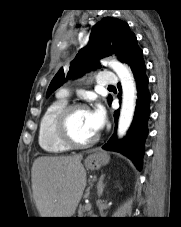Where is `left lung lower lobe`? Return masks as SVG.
Masks as SVG:
<instances>
[{"instance_id":"0a47b994","label":"left lung lower lobe","mask_w":181,"mask_h":227,"mask_svg":"<svg viewBox=\"0 0 181 227\" xmlns=\"http://www.w3.org/2000/svg\"><path fill=\"white\" fill-rule=\"evenodd\" d=\"M125 62L130 66L137 86L138 93L135 116L131 128L124 139L117 141L115 140L116 136L114 134L102 148L122 153L131 159L136 167L141 170L144 144L148 134L147 121L150 114V93L148 90V78L146 76L143 52L138 45H135L131 49ZM118 115L119 110L114 112L116 124Z\"/></svg>"}]
</instances>
